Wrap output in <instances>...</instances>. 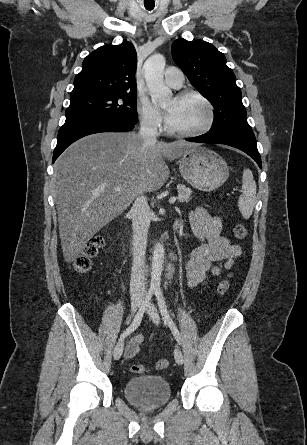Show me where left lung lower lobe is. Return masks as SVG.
I'll return each mask as SVG.
<instances>
[{
  "instance_id": "0a47b994",
  "label": "left lung lower lobe",
  "mask_w": 307,
  "mask_h": 445,
  "mask_svg": "<svg viewBox=\"0 0 307 445\" xmlns=\"http://www.w3.org/2000/svg\"><path fill=\"white\" fill-rule=\"evenodd\" d=\"M187 141L202 143H219L238 148L252 157L262 168L261 157L257 150L256 139L252 130L224 129L189 138Z\"/></svg>"
}]
</instances>
